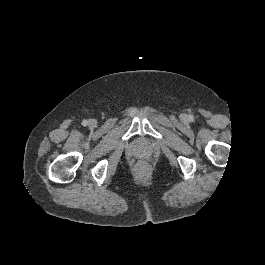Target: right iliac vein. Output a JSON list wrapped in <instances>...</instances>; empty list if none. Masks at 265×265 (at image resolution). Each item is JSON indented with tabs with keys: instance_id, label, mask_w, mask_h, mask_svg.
Here are the masks:
<instances>
[{
	"instance_id": "1",
	"label": "right iliac vein",
	"mask_w": 265,
	"mask_h": 265,
	"mask_svg": "<svg viewBox=\"0 0 265 265\" xmlns=\"http://www.w3.org/2000/svg\"><path fill=\"white\" fill-rule=\"evenodd\" d=\"M88 126H89L90 128H94V127H96V126H97V121H96L95 119H90V120L88 121Z\"/></svg>"
}]
</instances>
